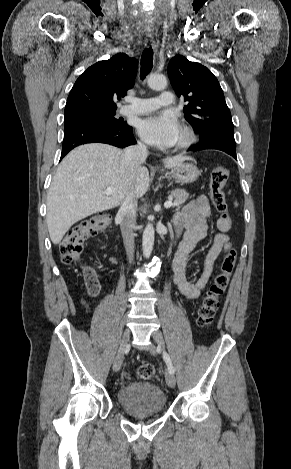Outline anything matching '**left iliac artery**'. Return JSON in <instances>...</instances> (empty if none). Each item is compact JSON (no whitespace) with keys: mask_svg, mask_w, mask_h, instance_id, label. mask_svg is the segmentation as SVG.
I'll use <instances>...</instances> for the list:
<instances>
[{"mask_svg":"<svg viewBox=\"0 0 291 469\" xmlns=\"http://www.w3.org/2000/svg\"><path fill=\"white\" fill-rule=\"evenodd\" d=\"M163 357H164V360H165V362H166V364H167V366H168V370H169L171 373L174 374L175 369H174V367H173V364H172V362H171V359H170L169 355H168L166 352H164Z\"/></svg>","mask_w":291,"mask_h":469,"instance_id":"obj_1","label":"left iliac artery"}]
</instances>
